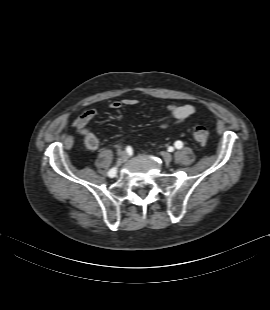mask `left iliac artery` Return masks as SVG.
<instances>
[{"mask_svg": "<svg viewBox=\"0 0 270 310\" xmlns=\"http://www.w3.org/2000/svg\"><path fill=\"white\" fill-rule=\"evenodd\" d=\"M175 147H176L177 149H181V148L183 147V143H182L181 141H176V142H175Z\"/></svg>", "mask_w": 270, "mask_h": 310, "instance_id": "obj_1", "label": "left iliac artery"}]
</instances>
